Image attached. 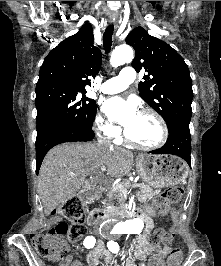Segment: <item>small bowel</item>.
<instances>
[{
	"label": "small bowel",
	"instance_id": "c3829d8e",
	"mask_svg": "<svg viewBox=\"0 0 221 266\" xmlns=\"http://www.w3.org/2000/svg\"><path fill=\"white\" fill-rule=\"evenodd\" d=\"M150 224L147 225L146 230L137 236L136 242L131 246L129 256L126 260L125 266H136L135 259H145L151 252L152 256L149 259V266H171L169 256L170 247H160L158 245L151 246L148 242V231ZM100 258H104L106 266H118L113 254L104 251L100 246L92 250L88 255V262L90 266H97ZM72 266H82L80 262H73Z\"/></svg>",
	"mask_w": 221,
	"mask_h": 266
}]
</instances>
